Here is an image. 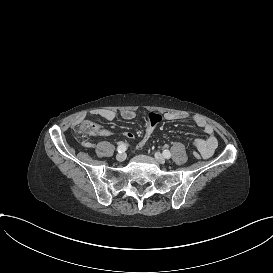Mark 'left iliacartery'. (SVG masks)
Listing matches in <instances>:
<instances>
[{
	"label": "left iliac artery",
	"mask_w": 273,
	"mask_h": 273,
	"mask_svg": "<svg viewBox=\"0 0 273 273\" xmlns=\"http://www.w3.org/2000/svg\"><path fill=\"white\" fill-rule=\"evenodd\" d=\"M163 156H164L166 159H169V158L171 157L170 151L165 150V151L163 152Z\"/></svg>",
	"instance_id": "1"
}]
</instances>
